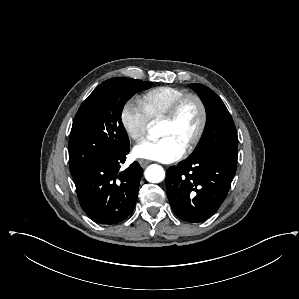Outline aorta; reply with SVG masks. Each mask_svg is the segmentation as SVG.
I'll use <instances>...</instances> for the list:
<instances>
[{
  "instance_id": "obj_1",
  "label": "aorta",
  "mask_w": 299,
  "mask_h": 299,
  "mask_svg": "<svg viewBox=\"0 0 299 299\" xmlns=\"http://www.w3.org/2000/svg\"><path fill=\"white\" fill-rule=\"evenodd\" d=\"M149 134L152 137H156V138L160 136L158 129H156L155 127H152L149 129ZM144 174H145L146 180L151 183H160L165 178L164 169L161 166L156 165V164L150 165L145 170Z\"/></svg>"
}]
</instances>
